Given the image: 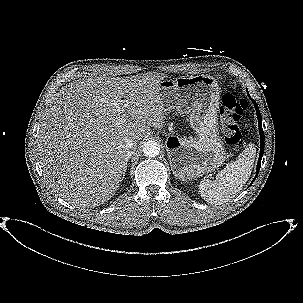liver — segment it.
I'll return each mask as SVG.
<instances>
[{
    "instance_id": "liver-1",
    "label": "liver",
    "mask_w": 303,
    "mask_h": 303,
    "mask_svg": "<svg viewBox=\"0 0 303 303\" xmlns=\"http://www.w3.org/2000/svg\"><path fill=\"white\" fill-rule=\"evenodd\" d=\"M167 77H84L63 87L40 124L37 149L44 177L54 192L78 208L104 204L122 181L125 155L121 142H135L150 127L165 125L166 110L158 85ZM130 113L127 122L122 114Z\"/></svg>"
}]
</instances>
